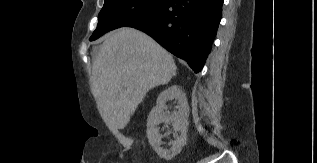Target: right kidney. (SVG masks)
Returning a JSON list of instances; mask_svg holds the SVG:
<instances>
[{"label": "right kidney", "instance_id": "obj_1", "mask_svg": "<svg viewBox=\"0 0 317 163\" xmlns=\"http://www.w3.org/2000/svg\"><path fill=\"white\" fill-rule=\"evenodd\" d=\"M175 100L177 102L176 109L172 113H167L166 102ZM189 105L186 94L176 85H173L163 92L157 98V105L154 107L147 119V137L154 151L163 159L171 160L179 154L182 147L186 144L188 131ZM161 123L172 124L175 133L174 141L171 142L170 149L161 147L162 136L159 134L158 125Z\"/></svg>", "mask_w": 317, "mask_h": 163}]
</instances>
